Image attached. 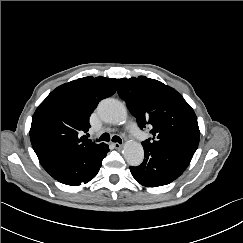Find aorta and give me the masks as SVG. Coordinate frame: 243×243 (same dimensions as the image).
<instances>
[{"label":"aorta","instance_id":"obj_1","mask_svg":"<svg viewBox=\"0 0 243 243\" xmlns=\"http://www.w3.org/2000/svg\"><path fill=\"white\" fill-rule=\"evenodd\" d=\"M98 113L103 121L110 124L123 123L128 116L124 104L112 98H107L100 102ZM123 155L129 165L139 166L144 159V150L140 143L129 141L123 147Z\"/></svg>","mask_w":243,"mask_h":243}]
</instances>
